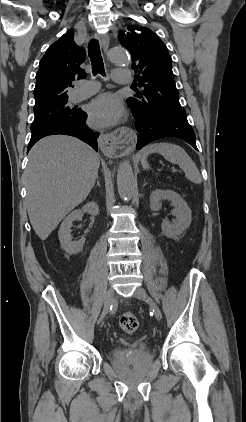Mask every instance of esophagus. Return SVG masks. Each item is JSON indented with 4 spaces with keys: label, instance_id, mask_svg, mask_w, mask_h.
Here are the masks:
<instances>
[{
    "label": "esophagus",
    "instance_id": "obj_1",
    "mask_svg": "<svg viewBox=\"0 0 246 422\" xmlns=\"http://www.w3.org/2000/svg\"><path fill=\"white\" fill-rule=\"evenodd\" d=\"M96 37L99 39L103 51L107 53L109 48V36L96 34ZM99 145L105 155L112 156L117 153L120 142L114 134L101 133L99 137Z\"/></svg>",
    "mask_w": 246,
    "mask_h": 422
}]
</instances>
